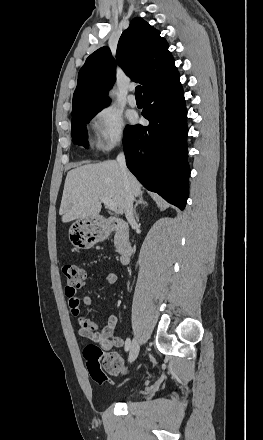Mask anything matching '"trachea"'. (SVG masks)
<instances>
[{
    "instance_id": "3493384b",
    "label": "trachea",
    "mask_w": 263,
    "mask_h": 440,
    "mask_svg": "<svg viewBox=\"0 0 263 440\" xmlns=\"http://www.w3.org/2000/svg\"><path fill=\"white\" fill-rule=\"evenodd\" d=\"M135 96H136V97H142L141 86H137V87L135 88Z\"/></svg>"
}]
</instances>
